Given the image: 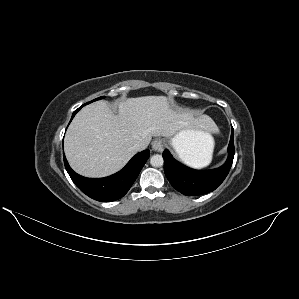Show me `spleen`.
Masks as SVG:
<instances>
[{
    "instance_id": "1",
    "label": "spleen",
    "mask_w": 299,
    "mask_h": 299,
    "mask_svg": "<svg viewBox=\"0 0 299 299\" xmlns=\"http://www.w3.org/2000/svg\"><path fill=\"white\" fill-rule=\"evenodd\" d=\"M207 126L211 129L214 127L215 123L208 118L207 121ZM208 137L210 140H212V136L210 135V133H208ZM180 156V155H179ZM184 161H186L188 164L194 166V167H204L207 166L210 161H211V157H212V153L211 152H207L205 153V155H203V157L201 159H192L191 161H187V158H185L183 155L180 156Z\"/></svg>"
}]
</instances>
